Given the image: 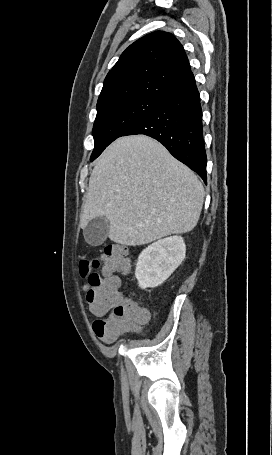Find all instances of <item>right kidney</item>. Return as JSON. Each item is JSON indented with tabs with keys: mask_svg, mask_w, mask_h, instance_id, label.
<instances>
[{
	"mask_svg": "<svg viewBox=\"0 0 272 455\" xmlns=\"http://www.w3.org/2000/svg\"><path fill=\"white\" fill-rule=\"evenodd\" d=\"M186 245L181 236H171L154 242L138 257L135 276L139 287L161 285L185 259Z\"/></svg>",
	"mask_w": 272,
	"mask_h": 455,
	"instance_id": "ca27d5eb",
	"label": "right kidney"
}]
</instances>
